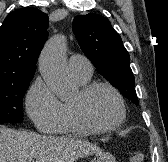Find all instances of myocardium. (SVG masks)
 Masks as SVG:
<instances>
[{
  "label": "myocardium",
  "instance_id": "f54148a6",
  "mask_svg": "<svg viewBox=\"0 0 168 162\" xmlns=\"http://www.w3.org/2000/svg\"><path fill=\"white\" fill-rule=\"evenodd\" d=\"M106 89L113 94L118 106H119V117L110 125H98L94 123L86 114L84 109V101L87 97L97 89ZM74 115L80 125L85 127L90 132H110L120 128L126 120V106L121 93L111 84L106 82H93L82 86L79 91V99L71 103Z\"/></svg>",
  "mask_w": 168,
  "mask_h": 162
}]
</instances>
